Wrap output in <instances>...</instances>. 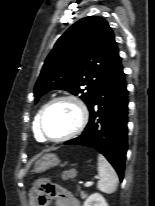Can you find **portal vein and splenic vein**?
I'll return each mask as SVG.
<instances>
[{
  "mask_svg": "<svg viewBox=\"0 0 155 206\" xmlns=\"http://www.w3.org/2000/svg\"><path fill=\"white\" fill-rule=\"evenodd\" d=\"M91 184H92L91 182H86V183L84 184V186H85V187H89Z\"/></svg>",
  "mask_w": 155,
  "mask_h": 206,
  "instance_id": "obj_1",
  "label": "portal vein and splenic vein"
}]
</instances>
